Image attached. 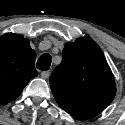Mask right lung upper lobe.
I'll list each match as a JSON object with an SVG mask.
<instances>
[{
	"mask_svg": "<svg viewBox=\"0 0 125 125\" xmlns=\"http://www.w3.org/2000/svg\"><path fill=\"white\" fill-rule=\"evenodd\" d=\"M35 58L28 39L14 33L0 37V106L15 100L38 75Z\"/></svg>",
	"mask_w": 125,
	"mask_h": 125,
	"instance_id": "1",
	"label": "right lung upper lobe"
}]
</instances>
